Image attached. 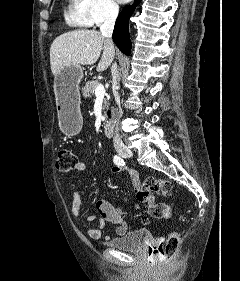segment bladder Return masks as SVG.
I'll list each match as a JSON object with an SVG mask.
<instances>
[{"label": "bladder", "instance_id": "obj_1", "mask_svg": "<svg viewBox=\"0 0 240 281\" xmlns=\"http://www.w3.org/2000/svg\"><path fill=\"white\" fill-rule=\"evenodd\" d=\"M146 236L147 234L143 230H135L111 239L106 245L121 251L137 252L141 250Z\"/></svg>", "mask_w": 240, "mask_h": 281}]
</instances>
